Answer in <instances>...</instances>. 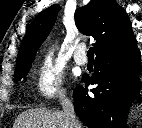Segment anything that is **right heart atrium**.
I'll return each mask as SVG.
<instances>
[{
  "label": "right heart atrium",
  "mask_w": 142,
  "mask_h": 128,
  "mask_svg": "<svg viewBox=\"0 0 142 128\" xmlns=\"http://www.w3.org/2000/svg\"><path fill=\"white\" fill-rule=\"evenodd\" d=\"M35 87L42 101L64 96L63 71L59 63L49 54L44 55L34 71Z\"/></svg>",
  "instance_id": "d8ad5b80"
}]
</instances>
